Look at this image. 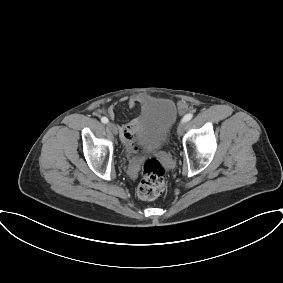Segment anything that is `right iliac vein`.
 <instances>
[{
	"instance_id": "63e3f726",
	"label": "right iliac vein",
	"mask_w": 283,
	"mask_h": 283,
	"mask_svg": "<svg viewBox=\"0 0 283 283\" xmlns=\"http://www.w3.org/2000/svg\"><path fill=\"white\" fill-rule=\"evenodd\" d=\"M107 128H108L110 131H112L115 135L118 133L117 126H116L114 123H112V122H109V123L107 124Z\"/></svg>"
}]
</instances>
